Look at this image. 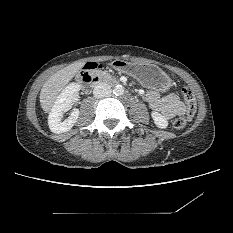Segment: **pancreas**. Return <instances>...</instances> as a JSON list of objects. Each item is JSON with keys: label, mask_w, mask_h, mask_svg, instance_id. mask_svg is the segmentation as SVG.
Wrapping results in <instances>:
<instances>
[{"label": "pancreas", "mask_w": 233, "mask_h": 233, "mask_svg": "<svg viewBox=\"0 0 233 233\" xmlns=\"http://www.w3.org/2000/svg\"><path fill=\"white\" fill-rule=\"evenodd\" d=\"M99 77L104 80V81H108V80H111V75L109 73H106V72H101L99 74Z\"/></svg>", "instance_id": "cf45deb5"}]
</instances>
